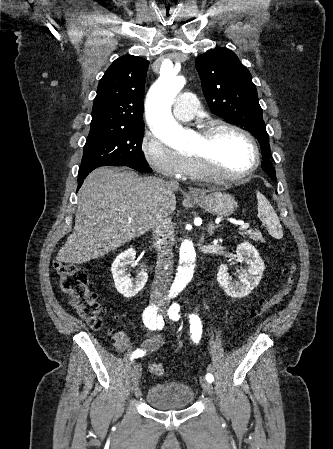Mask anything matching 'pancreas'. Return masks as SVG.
I'll use <instances>...</instances> for the list:
<instances>
[{
    "label": "pancreas",
    "mask_w": 333,
    "mask_h": 449,
    "mask_svg": "<svg viewBox=\"0 0 333 449\" xmlns=\"http://www.w3.org/2000/svg\"><path fill=\"white\" fill-rule=\"evenodd\" d=\"M245 234L248 235L249 238H251V239L254 240V241H260V242H263L262 235H261L260 231H258V230L250 229V230H247V231L245 232Z\"/></svg>",
    "instance_id": "pancreas-1"
}]
</instances>
